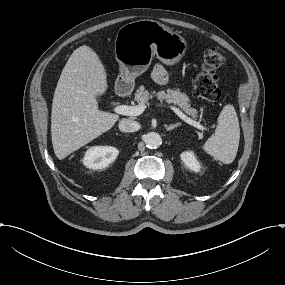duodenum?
Returning <instances> with one entry per match:
<instances>
[{
	"label": "duodenum",
	"mask_w": 285,
	"mask_h": 285,
	"mask_svg": "<svg viewBox=\"0 0 285 285\" xmlns=\"http://www.w3.org/2000/svg\"><path fill=\"white\" fill-rule=\"evenodd\" d=\"M115 89L119 98H129L134 91V84L127 78L118 79L115 82Z\"/></svg>",
	"instance_id": "obj_1"
}]
</instances>
